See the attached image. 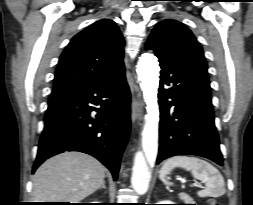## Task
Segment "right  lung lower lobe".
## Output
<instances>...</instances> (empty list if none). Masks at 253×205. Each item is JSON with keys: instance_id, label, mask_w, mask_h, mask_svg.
<instances>
[{"instance_id": "1", "label": "right lung lower lobe", "mask_w": 253, "mask_h": 205, "mask_svg": "<svg viewBox=\"0 0 253 205\" xmlns=\"http://www.w3.org/2000/svg\"><path fill=\"white\" fill-rule=\"evenodd\" d=\"M129 131L130 91L124 70L99 83L52 94L33 172L56 154L80 151L101 161L117 180Z\"/></svg>"}]
</instances>
